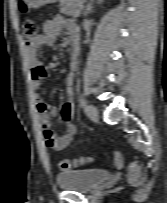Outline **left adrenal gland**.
Here are the masks:
<instances>
[{
	"mask_svg": "<svg viewBox=\"0 0 167 203\" xmlns=\"http://www.w3.org/2000/svg\"><path fill=\"white\" fill-rule=\"evenodd\" d=\"M94 1H95V0H91V1L87 4V6H86V8H85V10H84V12H83V15H84V16H87L89 13L92 12V9H93V2H94ZM102 1H103V0H98V3L100 4Z\"/></svg>",
	"mask_w": 167,
	"mask_h": 203,
	"instance_id": "1",
	"label": "left adrenal gland"
}]
</instances>
